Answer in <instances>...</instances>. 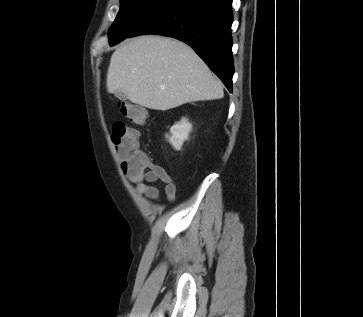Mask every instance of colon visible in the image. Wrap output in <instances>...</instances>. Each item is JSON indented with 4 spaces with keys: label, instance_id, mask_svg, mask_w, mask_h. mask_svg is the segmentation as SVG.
<instances>
[{
    "label": "colon",
    "instance_id": "obj_1",
    "mask_svg": "<svg viewBox=\"0 0 363 317\" xmlns=\"http://www.w3.org/2000/svg\"><path fill=\"white\" fill-rule=\"evenodd\" d=\"M121 115L138 125H143L147 113L141 106L122 102L119 105ZM111 142L116 147L119 158L122 161V168L130 167L140 170L145 164V157L139 152V133L136 129L129 128L123 121H117L112 128Z\"/></svg>",
    "mask_w": 363,
    "mask_h": 317
}]
</instances>
